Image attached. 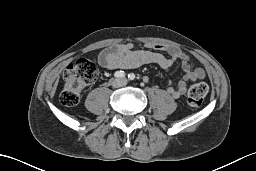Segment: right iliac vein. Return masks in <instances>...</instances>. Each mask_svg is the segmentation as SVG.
<instances>
[{
	"mask_svg": "<svg viewBox=\"0 0 256 171\" xmlns=\"http://www.w3.org/2000/svg\"><path fill=\"white\" fill-rule=\"evenodd\" d=\"M118 84V82H115V85H117Z\"/></svg>",
	"mask_w": 256,
	"mask_h": 171,
	"instance_id": "63e3f726",
	"label": "right iliac vein"
}]
</instances>
